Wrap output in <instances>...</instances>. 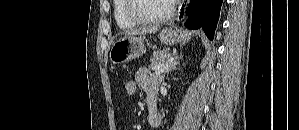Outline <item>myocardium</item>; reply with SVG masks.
I'll list each match as a JSON object with an SVG mask.
<instances>
[{"label":"myocardium","instance_id":"1","mask_svg":"<svg viewBox=\"0 0 299 130\" xmlns=\"http://www.w3.org/2000/svg\"><path fill=\"white\" fill-rule=\"evenodd\" d=\"M136 1L139 0H127V15L132 21L138 24L150 25L164 23L169 21L175 13V4L171 3L167 14L159 17H145L136 11Z\"/></svg>","mask_w":299,"mask_h":130}]
</instances>
